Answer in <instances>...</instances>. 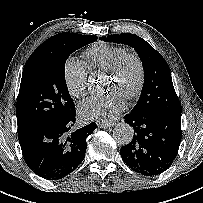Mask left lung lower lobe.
Wrapping results in <instances>:
<instances>
[{
	"label": "left lung lower lobe",
	"mask_w": 203,
	"mask_h": 203,
	"mask_svg": "<svg viewBox=\"0 0 203 203\" xmlns=\"http://www.w3.org/2000/svg\"><path fill=\"white\" fill-rule=\"evenodd\" d=\"M125 122L134 128L132 141L121 147L123 161L133 171L154 176L167 170L181 142V114L156 117L129 113Z\"/></svg>",
	"instance_id": "1"
}]
</instances>
